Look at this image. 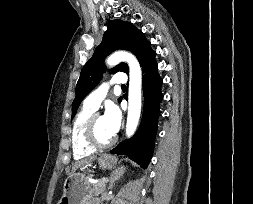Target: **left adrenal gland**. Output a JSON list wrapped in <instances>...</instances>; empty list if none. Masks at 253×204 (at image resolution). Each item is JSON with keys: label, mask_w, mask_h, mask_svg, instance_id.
I'll use <instances>...</instances> for the list:
<instances>
[{"label": "left adrenal gland", "mask_w": 253, "mask_h": 204, "mask_svg": "<svg viewBox=\"0 0 253 204\" xmlns=\"http://www.w3.org/2000/svg\"><path fill=\"white\" fill-rule=\"evenodd\" d=\"M125 171H126V167L121 166L115 171L110 173V177H109L110 183H109L108 189L113 188L115 182L125 173Z\"/></svg>", "instance_id": "obj_1"}]
</instances>
